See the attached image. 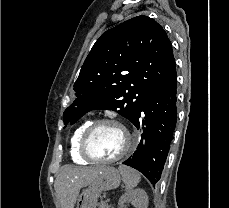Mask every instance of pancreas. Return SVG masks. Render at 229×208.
I'll return each mask as SVG.
<instances>
[{
	"mask_svg": "<svg viewBox=\"0 0 229 208\" xmlns=\"http://www.w3.org/2000/svg\"><path fill=\"white\" fill-rule=\"evenodd\" d=\"M99 208H109V206H108V204H106V202H103V200H102V202H100V204H99Z\"/></svg>",
	"mask_w": 229,
	"mask_h": 208,
	"instance_id": "1",
	"label": "pancreas"
}]
</instances>
